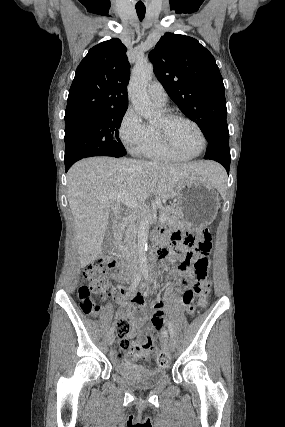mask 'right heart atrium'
I'll use <instances>...</instances> for the list:
<instances>
[{"label": "right heart atrium", "mask_w": 285, "mask_h": 427, "mask_svg": "<svg viewBox=\"0 0 285 427\" xmlns=\"http://www.w3.org/2000/svg\"><path fill=\"white\" fill-rule=\"evenodd\" d=\"M120 137L125 147L139 154L148 138V125L133 107H129L121 121Z\"/></svg>", "instance_id": "obj_1"}]
</instances>
